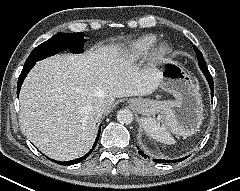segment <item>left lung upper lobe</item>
Returning <instances> with one entry per match:
<instances>
[{
	"label": "left lung upper lobe",
	"instance_id": "5c2ea615",
	"mask_svg": "<svg viewBox=\"0 0 240 191\" xmlns=\"http://www.w3.org/2000/svg\"><path fill=\"white\" fill-rule=\"evenodd\" d=\"M194 50H195V52H196V54H197V59H198V60H202V59H203V55H202V53L200 52V50H198L195 46H194Z\"/></svg>",
	"mask_w": 240,
	"mask_h": 191
}]
</instances>
